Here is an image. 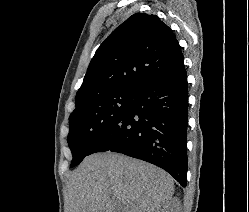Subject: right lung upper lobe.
Masks as SVG:
<instances>
[{
    "mask_svg": "<svg viewBox=\"0 0 249 212\" xmlns=\"http://www.w3.org/2000/svg\"><path fill=\"white\" fill-rule=\"evenodd\" d=\"M181 62L173 31L156 15L136 13L97 49L76 94V106L106 93L137 92Z\"/></svg>",
    "mask_w": 249,
    "mask_h": 212,
    "instance_id": "1",
    "label": "right lung upper lobe"
}]
</instances>
